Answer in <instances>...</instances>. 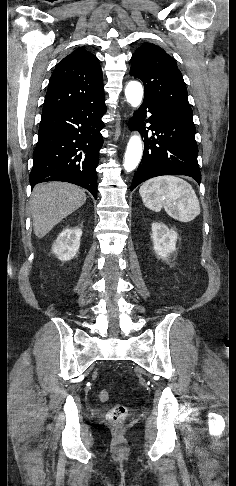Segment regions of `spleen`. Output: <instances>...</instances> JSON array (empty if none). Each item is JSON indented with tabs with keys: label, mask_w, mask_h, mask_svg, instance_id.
I'll use <instances>...</instances> for the list:
<instances>
[{
	"label": "spleen",
	"mask_w": 236,
	"mask_h": 486,
	"mask_svg": "<svg viewBox=\"0 0 236 486\" xmlns=\"http://www.w3.org/2000/svg\"><path fill=\"white\" fill-rule=\"evenodd\" d=\"M144 205L159 212L162 207L172 217L192 221L200 214V203L192 186L176 176L150 179L139 189Z\"/></svg>",
	"instance_id": "1"
}]
</instances>
